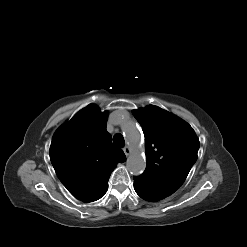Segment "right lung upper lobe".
<instances>
[{"label": "right lung upper lobe", "mask_w": 247, "mask_h": 247, "mask_svg": "<svg viewBox=\"0 0 247 247\" xmlns=\"http://www.w3.org/2000/svg\"><path fill=\"white\" fill-rule=\"evenodd\" d=\"M107 112L88 105L53 135L50 159L67 190L83 202H92L108 188L117 163L126 161L123 151L106 131Z\"/></svg>", "instance_id": "1"}]
</instances>
